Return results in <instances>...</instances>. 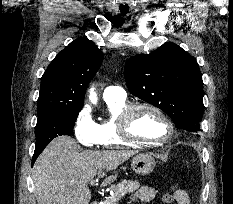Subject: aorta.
I'll return each mask as SVG.
<instances>
[{"label":"aorta","mask_w":233,"mask_h":204,"mask_svg":"<svg viewBox=\"0 0 233 204\" xmlns=\"http://www.w3.org/2000/svg\"><path fill=\"white\" fill-rule=\"evenodd\" d=\"M89 99H90L91 103L96 104L97 96H96V93L94 92V88L90 89Z\"/></svg>","instance_id":"obj_1"}]
</instances>
